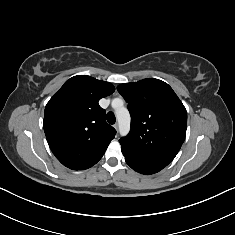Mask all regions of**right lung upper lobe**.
I'll use <instances>...</instances> for the list:
<instances>
[{"instance_id": "obj_1", "label": "right lung upper lobe", "mask_w": 235, "mask_h": 235, "mask_svg": "<svg viewBox=\"0 0 235 235\" xmlns=\"http://www.w3.org/2000/svg\"><path fill=\"white\" fill-rule=\"evenodd\" d=\"M114 86L87 75L67 80L45 107L44 131L56 158L73 170L96 164L114 138L98 101L114 92Z\"/></svg>"}]
</instances>
